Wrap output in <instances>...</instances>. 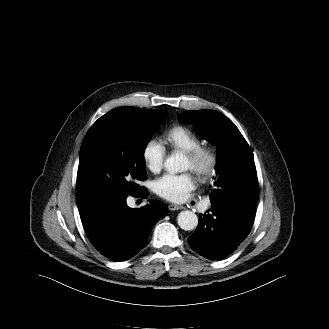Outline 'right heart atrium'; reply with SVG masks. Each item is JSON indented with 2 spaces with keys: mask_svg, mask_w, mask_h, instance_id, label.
Here are the masks:
<instances>
[{
  "mask_svg": "<svg viewBox=\"0 0 329 329\" xmlns=\"http://www.w3.org/2000/svg\"><path fill=\"white\" fill-rule=\"evenodd\" d=\"M141 155L146 168L151 172H158L164 165L166 149L160 140L150 138L145 142Z\"/></svg>",
  "mask_w": 329,
  "mask_h": 329,
  "instance_id": "d8ad5b80",
  "label": "right heart atrium"
}]
</instances>
